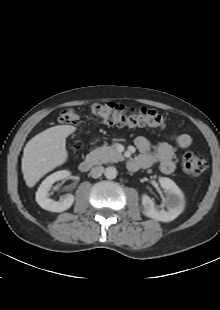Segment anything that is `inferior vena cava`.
Listing matches in <instances>:
<instances>
[{
	"label": "inferior vena cava",
	"mask_w": 220,
	"mask_h": 310,
	"mask_svg": "<svg viewBox=\"0 0 220 310\" xmlns=\"http://www.w3.org/2000/svg\"><path fill=\"white\" fill-rule=\"evenodd\" d=\"M103 172H104V167L103 166H96V167L92 168V170L90 172V175L93 178H99L102 175Z\"/></svg>",
	"instance_id": "obj_1"
}]
</instances>
